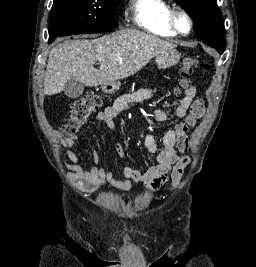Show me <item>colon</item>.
<instances>
[{"label":"colon","mask_w":256,"mask_h":267,"mask_svg":"<svg viewBox=\"0 0 256 267\" xmlns=\"http://www.w3.org/2000/svg\"><path fill=\"white\" fill-rule=\"evenodd\" d=\"M197 62L192 57H186L181 63L182 86L185 89L193 87L191 77L194 75ZM103 103V97L96 92L88 93L83 99L77 101L71 108L68 118L62 123L60 133L62 138L68 139L76 135L88 118L97 111ZM206 110V101L202 97L196 98L189 109L188 114L176 125L178 135L177 147L182 153L181 159L173 168L172 187L178 186L183 172L189 163L188 133L203 117Z\"/></svg>","instance_id":"obj_1"}]
</instances>
